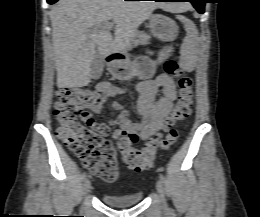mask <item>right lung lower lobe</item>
<instances>
[{"mask_svg":"<svg viewBox=\"0 0 260 217\" xmlns=\"http://www.w3.org/2000/svg\"><path fill=\"white\" fill-rule=\"evenodd\" d=\"M58 0H47V2L49 3V4H53V3H55V2H57ZM126 1H129V0H126Z\"/></svg>","mask_w":260,"mask_h":217,"instance_id":"right-lung-lower-lobe-1","label":"right lung lower lobe"}]
</instances>
